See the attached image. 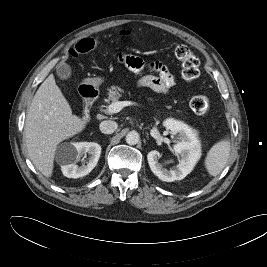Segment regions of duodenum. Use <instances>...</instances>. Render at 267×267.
<instances>
[{"label": "duodenum", "instance_id": "410a0bca", "mask_svg": "<svg viewBox=\"0 0 267 267\" xmlns=\"http://www.w3.org/2000/svg\"><path fill=\"white\" fill-rule=\"evenodd\" d=\"M80 94L82 95L83 101H84L83 121L85 123H88L90 121L89 110H90L91 105L96 100L99 94V90L96 86L91 85V84L82 85L80 88Z\"/></svg>", "mask_w": 267, "mask_h": 267}]
</instances>
